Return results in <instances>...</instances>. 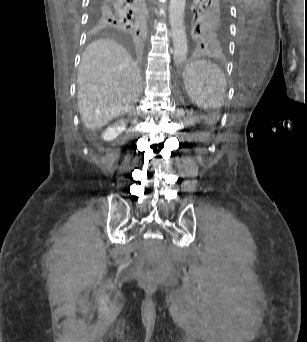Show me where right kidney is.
<instances>
[{
    "mask_svg": "<svg viewBox=\"0 0 307 342\" xmlns=\"http://www.w3.org/2000/svg\"><path fill=\"white\" fill-rule=\"evenodd\" d=\"M125 128V122L119 120V122H116V124H112V126H108V128H106L105 132L102 134V138L103 140H106V142H111V140L117 138L121 132H124Z\"/></svg>",
    "mask_w": 307,
    "mask_h": 342,
    "instance_id": "1",
    "label": "right kidney"
}]
</instances>
